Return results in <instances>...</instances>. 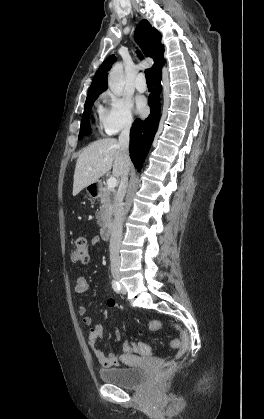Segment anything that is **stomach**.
Here are the masks:
<instances>
[{"instance_id": "stomach-1", "label": "stomach", "mask_w": 264, "mask_h": 419, "mask_svg": "<svg viewBox=\"0 0 264 419\" xmlns=\"http://www.w3.org/2000/svg\"><path fill=\"white\" fill-rule=\"evenodd\" d=\"M87 193H88V194H91L88 190H87Z\"/></svg>"}]
</instances>
